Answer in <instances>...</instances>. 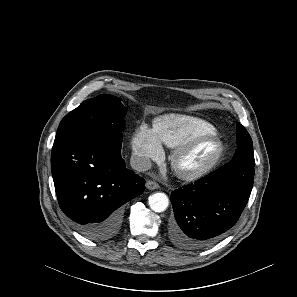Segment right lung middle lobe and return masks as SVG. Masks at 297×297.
Masks as SVG:
<instances>
[{"label": "right lung middle lobe", "mask_w": 297, "mask_h": 297, "mask_svg": "<svg viewBox=\"0 0 297 297\" xmlns=\"http://www.w3.org/2000/svg\"><path fill=\"white\" fill-rule=\"evenodd\" d=\"M126 113L120 99L99 95L81 103L61 121L55 140L95 132H115L122 139L123 117Z\"/></svg>", "instance_id": "right-lung-middle-lobe-1"}]
</instances>
